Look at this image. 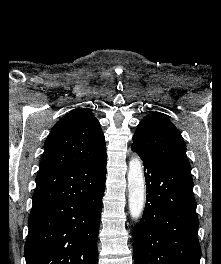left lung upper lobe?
Here are the masks:
<instances>
[{"label": "left lung upper lobe", "instance_id": "5c2ea615", "mask_svg": "<svg viewBox=\"0 0 221 264\" xmlns=\"http://www.w3.org/2000/svg\"><path fill=\"white\" fill-rule=\"evenodd\" d=\"M131 146L148 158L190 170L179 130L159 112L141 120Z\"/></svg>", "mask_w": 221, "mask_h": 264}]
</instances>
